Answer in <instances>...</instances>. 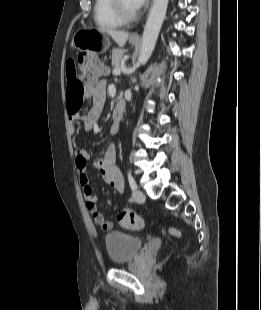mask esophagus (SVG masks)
Listing matches in <instances>:
<instances>
[{
    "label": "esophagus",
    "instance_id": "obj_1",
    "mask_svg": "<svg viewBox=\"0 0 261 310\" xmlns=\"http://www.w3.org/2000/svg\"><path fill=\"white\" fill-rule=\"evenodd\" d=\"M131 39H133V40H138V39H140V36H139V34L136 32V33H133V34L131 35Z\"/></svg>",
    "mask_w": 261,
    "mask_h": 310
}]
</instances>
